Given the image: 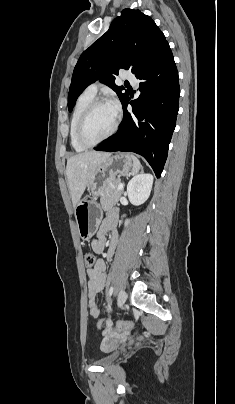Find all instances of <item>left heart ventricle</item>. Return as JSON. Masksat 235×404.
Wrapping results in <instances>:
<instances>
[{
    "label": "left heart ventricle",
    "mask_w": 235,
    "mask_h": 404,
    "mask_svg": "<svg viewBox=\"0 0 235 404\" xmlns=\"http://www.w3.org/2000/svg\"><path fill=\"white\" fill-rule=\"evenodd\" d=\"M116 113L109 104L98 106L90 115L84 130L87 140L96 141L111 129Z\"/></svg>",
    "instance_id": "1"
}]
</instances>
